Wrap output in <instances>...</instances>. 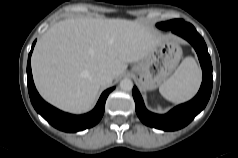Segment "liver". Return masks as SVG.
Returning a JSON list of instances; mask_svg holds the SVG:
<instances>
[{"label":"liver","mask_w":238,"mask_h":158,"mask_svg":"<svg viewBox=\"0 0 238 158\" xmlns=\"http://www.w3.org/2000/svg\"><path fill=\"white\" fill-rule=\"evenodd\" d=\"M163 38L151 27L126 19L60 21L35 46L31 59L35 85L56 107L87 112L101 87H106L97 81L100 70L118 78L128 63L142 60Z\"/></svg>","instance_id":"1"}]
</instances>
